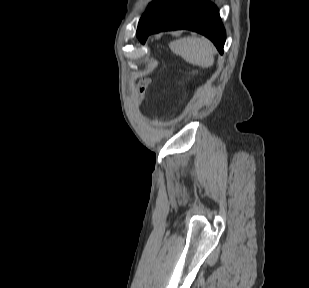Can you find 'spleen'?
Segmentation results:
<instances>
[{
	"label": "spleen",
	"instance_id": "1",
	"mask_svg": "<svg viewBox=\"0 0 309 288\" xmlns=\"http://www.w3.org/2000/svg\"><path fill=\"white\" fill-rule=\"evenodd\" d=\"M170 48L192 65L208 68L214 64V47L206 38L184 37L171 43Z\"/></svg>",
	"mask_w": 309,
	"mask_h": 288
}]
</instances>
